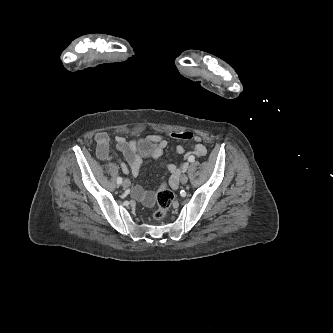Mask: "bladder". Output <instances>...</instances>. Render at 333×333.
I'll return each instance as SVG.
<instances>
[{"label":"bladder","instance_id":"1","mask_svg":"<svg viewBox=\"0 0 333 333\" xmlns=\"http://www.w3.org/2000/svg\"><path fill=\"white\" fill-rule=\"evenodd\" d=\"M140 152L144 155H149L154 150V144L150 141H143L139 144Z\"/></svg>","mask_w":333,"mask_h":333}]
</instances>
